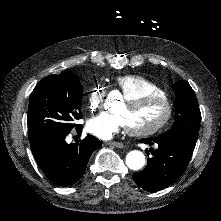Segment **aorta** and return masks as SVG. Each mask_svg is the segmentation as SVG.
Returning a JSON list of instances; mask_svg holds the SVG:
<instances>
[{"mask_svg": "<svg viewBox=\"0 0 221 221\" xmlns=\"http://www.w3.org/2000/svg\"><path fill=\"white\" fill-rule=\"evenodd\" d=\"M145 162V156L141 151L133 150L126 155V165L132 170L141 169Z\"/></svg>", "mask_w": 221, "mask_h": 221, "instance_id": "obj_1", "label": "aorta"}]
</instances>
